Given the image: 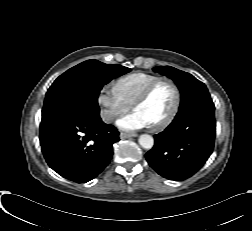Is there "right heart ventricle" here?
I'll use <instances>...</instances> for the list:
<instances>
[{
	"instance_id": "right-heart-ventricle-1",
	"label": "right heart ventricle",
	"mask_w": 252,
	"mask_h": 231,
	"mask_svg": "<svg viewBox=\"0 0 252 231\" xmlns=\"http://www.w3.org/2000/svg\"><path fill=\"white\" fill-rule=\"evenodd\" d=\"M159 78L157 75L149 73H132L120 77L115 87L120 96L130 105L140 95V93L154 80Z\"/></svg>"
}]
</instances>
